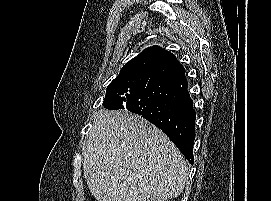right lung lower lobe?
<instances>
[{"label":"right lung lower lobe","mask_w":271,"mask_h":201,"mask_svg":"<svg viewBox=\"0 0 271 201\" xmlns=\"http://www.w3.org/2000/svg\"><path fill=\"white\" fill-rule=\"evenodd\" d=\"M143 92L127 97L119 109L139 114L160 128L193 164L196 114L183 66L169 53L150 69Z\"/></svg>","instance_id":"obj_1"}]
</instances>
